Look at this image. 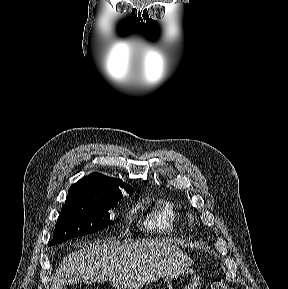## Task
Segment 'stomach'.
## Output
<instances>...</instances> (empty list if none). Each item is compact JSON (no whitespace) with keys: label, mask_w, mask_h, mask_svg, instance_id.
Instances as JSON below:
<instances>
[{"label":"stomach","mask_w":288,"mask_h":289,"mask_svg":"<svg viewBox=\"0 0 288 289\" xmlns=\"http://www.w3.org/2000/svg\"><path fill=\"white\" fill-rule=\"evenodd\" d=\"M200 278L191 268L174 272L168 277V289H197Z\"/></svg>","instance_id":"obj_1"}]
</instances>
